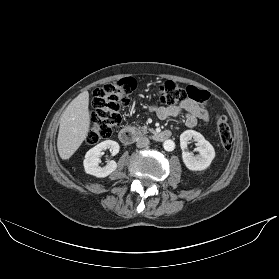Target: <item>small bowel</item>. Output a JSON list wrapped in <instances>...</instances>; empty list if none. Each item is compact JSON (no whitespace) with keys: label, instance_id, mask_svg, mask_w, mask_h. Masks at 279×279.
<instances>
[{"label":"small bowel","instance_id":"obj_1","mask_svg":"<svg viewBox=\"0 0 279 279\" xmlns=\"http://www.w3.org/2000/svg\"><path fill=\"white\" fill-rule=\"evenodd\" d=\"M151 110L156 113L160 119L184 115L185 123L188 127H195L199 120L209 121L210 116L207 109L198 102L191 99H185L178 105L152 107Z\"/></svg>","mask_w":279,"mask_h":279}]
</instances>
